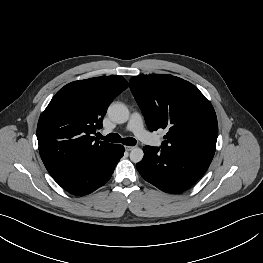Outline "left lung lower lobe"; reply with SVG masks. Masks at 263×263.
I'll return each instance as SVG.
<instances>
[{
  "mask_svg": "<svg viewBox=\"0 0 263 263\" xmlns=\"http://www.w3.org/2000/svg\"><path fill=\"white\" fill-rule=\"evenodd\" d=\"M144 158L136 167L141 176L160 190L178 194L192 186L208 169L211 161L168 147L143 148Z\"/></svg>",
  "mask_w": 263,
  "mask_h": 263,
  "instance_id": "obj_1",
  "label": "left lung lower lobe"
}]
</instances>
